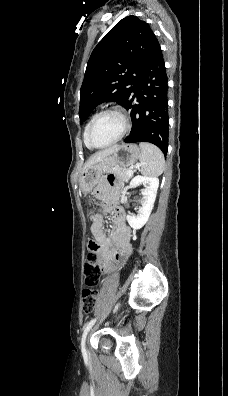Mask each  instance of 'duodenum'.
Here are the masks:
<instances>
[{
	"label": "duodenum",
	"mask_w": 228,
	"mask_h": 396,
	"mask_svg": "<svg viewBox=\"0 0 228 396\" xmlns=\"http://www.w3.org/2000/svg\"><path fill=\"white\" fill-rule=\"evenodd\" d=\"M116 222H117V227H118L119 234L123 235L125 233V230H128L127 225L125 224V222L121 218L116 219Z\"/></svg>",
	"instance_id": "410a0bca"
}]
</instances>
